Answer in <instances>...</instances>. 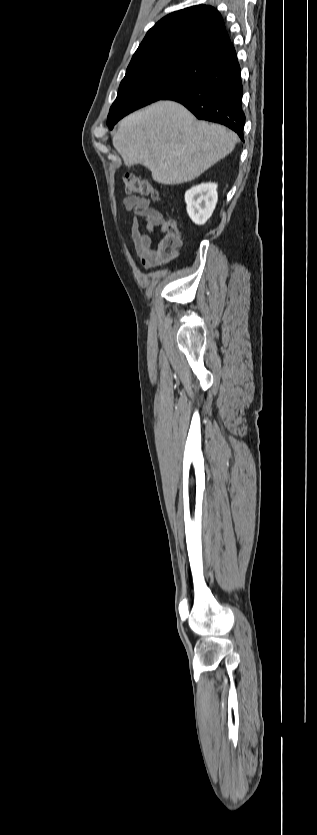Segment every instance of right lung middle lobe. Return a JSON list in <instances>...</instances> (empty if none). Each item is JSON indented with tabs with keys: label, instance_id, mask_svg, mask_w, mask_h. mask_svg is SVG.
Here are the masks:
<instances>
[{
	"label": "right lung middle lobe",
	"instance_id": "right-lung-middle-lobe-1",
	"mask_svg": "<svg viewBox=\"0 0 317 835\" xmlns=\"http://www.w3.org/2000/svg\"><path fill=\"white\" fill-rule=\"evenodd\" d=\"M206 74L193 57L152 65L126 74L112 104L107 125L110 129L125 115L188 85L202 81Z\"/></svg>",
	"mask_w": 317,
	"mask_h": 835
}]
</instances>
